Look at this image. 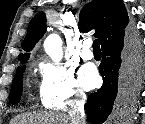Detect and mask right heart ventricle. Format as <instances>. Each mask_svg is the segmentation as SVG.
<instances>
[{
    "mask_svg": "<svg viewBox=\"0 0 145 124\" xmlns=\"http://www.w3.org/2000/svg\"><path fill=\"white\" fill-rule=\"evenodd\" d=\"M42 104L47 107V108H51L47 103H45L43 100H42Z\"/></svg>",
    "mask_w": 145,
    "mask_h": 124,
    "instance_id": "right-heart-ventricle-1",
    "label": "right heart ventricle"
}]
</instances>
